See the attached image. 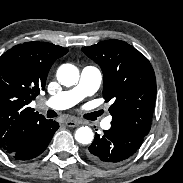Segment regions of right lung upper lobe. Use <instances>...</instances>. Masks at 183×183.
<instances>
[{
	"instance_id": "obj_1",
	"label": "right lung upper lobe",
	"mask_w": 183,
	"mask_h": 183,
	"mask_svg": "<svg viewBox=\"0 0 183 183\" xmlns=\"http://www.w3.org/2000/svg\"><path fill=\"white\" fill-rule=\"evenodd\" d=\"M66 48L46 42H26L0 57V148L18 150L24 132L45 119L29 103L45 89L48 72Z\"/></svg>"
}]
</instances>
